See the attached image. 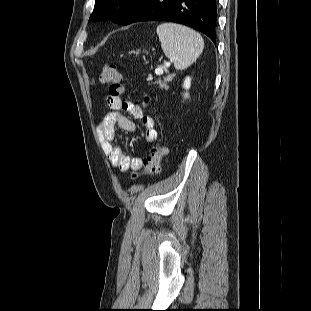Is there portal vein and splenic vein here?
<instances>
[{"instance_id": "18ae733b", "label": "portal vein and splenic vein", "mask_w": 311, "mask_h": 311, "mask_svg": "<svg viewBox=\"0 0 311 311\" xmlns=\"http://www.w3.org/2000/svg\"><path fill=\"white\" fill-rule=\"evenodd\" d=\"M155 74L156 75H162L163 74V69L162 68L155 69Z\"/></svg>"}]
</instances>
